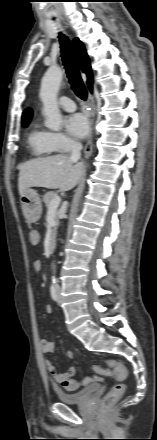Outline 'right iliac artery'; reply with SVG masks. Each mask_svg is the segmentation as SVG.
I'll return each instance as SVG.
<instances>
[{"instance_id":"obj_1","label":"right iliac artery","mask_w":157,"mask_h":440,"mask_svg":"<svg viewBox=\"0 0 157 440\" xmlns=\"http://www.w3.org/2000/svg\"><path fill=\"white\" fill-rule=\"evenodd\" d=\"M50 293H51V297H52V299H53L54 301H57V299H58V295H57V290H56V286H55L54 283L51 284V287H50Z\"/></svg>"}]
</instances>
